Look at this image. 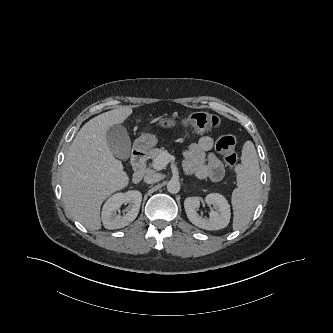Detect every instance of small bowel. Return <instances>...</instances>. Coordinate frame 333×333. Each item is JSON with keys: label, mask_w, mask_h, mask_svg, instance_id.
<instances>
[{"label": "small bowel", "mask_w": 333, "mask_h": 333, "mask_svg": "<svg viewBox=\"0 0 333 333\" xmlns=\"http://www.w3.org/2000/svg\"><path fill=\"white\" fill-rule=\"evenodd\" d=\"M213 143V136L205 135L189 145L184 151V168L200 179H210L217 182L222 179L224 168L215 154L206 155L211 150Z\"/></svg>", "instance_id": "small-bowel-1"}]
</instances>
